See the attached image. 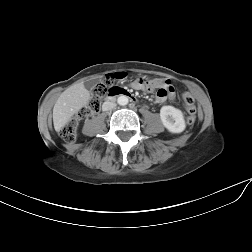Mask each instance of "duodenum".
<instances>
[{
	"label": "duodenum",
	"instance_id": "duodenum-1",
	"mask_svg": "<svg viewBox=\"0 0 252 252\" xmlns=\"http://www.w3.org/2000/svg\"><path fill=\"white\" fill-rule=\"evenodd\" d=\"M117 96H125L127 97L132 103H137V99L134 95H132L131 93L121 89L118 91L113 92L112 94L109 95V99H113Z\"/></svg>",
	"mask_w": 252,
	"mask_h": 252
}]
</instances>
